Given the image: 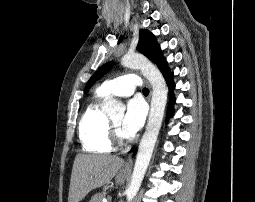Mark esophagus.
Segmentation results:
<instances>
[{
  "mask_svg": "<svg viewBox=\"0 0 255 202\" xmlns=\"http://www.w3.org/2000/svg\"><path fill=\"white\" fill-rule=\"evenodd\" d=\"M131 165H132V159H131V157H129V159H128L126 165H125V167H126V168H130Z\"/></svg>",
  "mask_w": 255,
  "mask_h": 202,
  "instance_id": "obj_1",
  "label": "esophagus"
}]
</instances>
